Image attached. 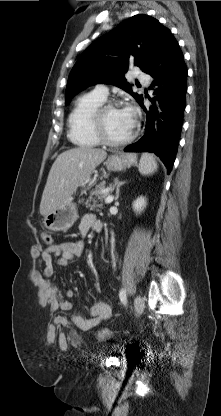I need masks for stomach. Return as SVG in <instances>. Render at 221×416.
<instances>
[{
  "label": "stomach",
  "mask_w": 221,
  "mask_h": 416,
  "mask_svg": "<svg viewBox=\"0 0 221 416\" xmlns=\"http://www.w3.org/2000/svg\"><path fill=\"white\" fill-rule=\"evenodd\" d=\"M136 162L137 156L133 153L114 154L104 162V165L109 171H122L133 164H136ZM77 218L78 212L76 204L69 200L61 207L46 215L43 223L45 228L50 231L66 232L73 226Z\"/></svg>",
  "instance_id": "0dacf381"
}]
</instances>
